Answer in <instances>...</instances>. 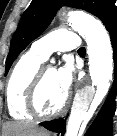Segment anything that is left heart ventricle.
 <instances>
[{
  "label": "left heart ventricle",
  "instance_id": "1",
  "mask_svg": "<svg viewBox=\"0 0 117 136\" xmlns=\"http://www.w3.org/2000/svg\"><path fill=\"white\" fill-rule=\"evenodd\" d=\"M66 95L67 93L58 85L56 70L53 67H48L38 95L41 110L43 112L55 111L62 105Z\"/></svg>",
  "mask_w": 117,
  "mask_h": 136
}]
</instances>
